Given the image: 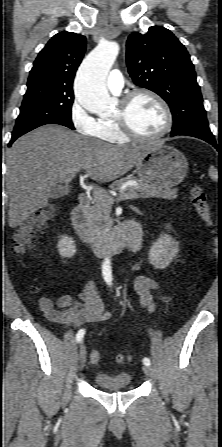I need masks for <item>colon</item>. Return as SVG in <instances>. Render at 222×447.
I'll return each instance as SVG.
<instances>
[{"label":"colon","instance_id":"1","mask_svg":"<svg viewBox=\"0 0 222 447\" xmlns=\"http://www.w3.org/2000/svg\"><path fill=\"white\" fill-rule=\"evenodd\" d=\"M190 199L200 219L211 229L213 226L211 208L203 188L194 184L190 188ZM56 212V206H46L25 220L16 230L13 236V252L18 258H21L34 245L37 234L47 226ZM91 361L98 363L100 361V354L95 351L92 352ZM117 361L120 363L124 362V356L119 355Z\"/></svg>","mask_w":222,"mask_h":447}]
</instances>
